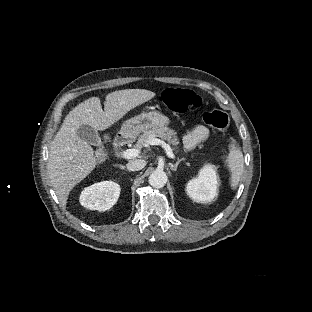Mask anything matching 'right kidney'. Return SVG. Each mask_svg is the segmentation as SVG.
<instances>
[{
	"label": "right kidney",
	"instance_id": "right-kidney-1",
	"mask_svg": "<svg viewBox=\"0 0 312 312\" xmlns=\"http://www.w3.org/2000/svg\"><path fill=\"white\" fill-rule=\"evenodd\" d=\"M120 186L113 181H102L84 188L80 204L90 210L106 211L118 200Z\"/></svg>",
	"mask_w": 312,
	"mask_h": 312
}]
</instances>
